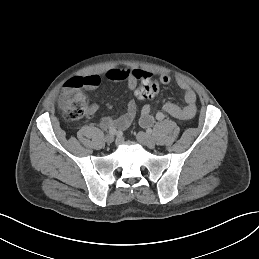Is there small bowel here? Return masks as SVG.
<instances>
[{
    "mask_svg": "<svg viewBox=\"0 0 259 259\" xmlns=\"http://www.w3.org/2000/svg\"><path fill=\"white\" fill-rule=\"evenodd\" d=\"M107 78L114 82H124L127 84L130 90H135L139 82H151L156 86L168 84L171 78L167 74L161 75L157 80H151V74L141 69H110L106 73ZM85 88L88 90L95 89L100 84V78L96 75L87 76ZM176 83L178 87L184 91L185 105L180 106L172 102H166L163 104L162 109L165 113L173 118L186 121L195 117L197 113L196 106V93L191 87L182 79H177ZM98 110V105L92 104L87 111L88 115H93ZM137 112V106L134 101H130L127 104L126 111L118 118L105 117L101 120L100 125L103 129L117 128L124 130L130 126L135 118ZM153 122V116L149 105L143 106L141 109L140 123L142 126H150Z\"/></svg>",
    "mask_w": 259,
    "mask_h": 259,
    "instance_id": "c3829d8e",
    "label": "small bowel"
}]
</instances>
